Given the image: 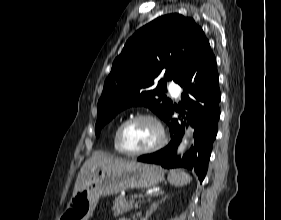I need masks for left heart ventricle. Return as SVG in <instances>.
<instances>
[{
  "mask_svg": "<svg viewBox=\"0 0 281 220\" xmlns=\"http://www.w3.org/2000/svg\"><path fill=\"white\" fill-rule=\"evenodd\" d=\"M160 133L155 123L139 120L130 124L124 131L123 141L131 150L149 148L159 141Z\"/></svg>",
  "mask_w": 281,
  "mask_h": 220,
  "instance_id": "left-heart-ventricle-1",
  "label": "left heart ventricle"
}]
</instances>
